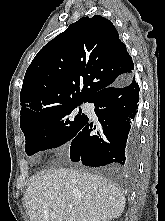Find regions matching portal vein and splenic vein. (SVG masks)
<instances>
[{"instance_id":"1","label":"portal vein and splenic vein","mask_w":165,"mask_h":221,"mask_svg":"<svg viewBox=\"0 0 165 221\" xmlns=\"http://www.w3.org/2000/svg\"><path fill=\"white\" fill-rule=\"evenodd\" d=\"M50 216H51L53 219L57 218V215H56L55 213H51ZM67 221H75V219H73V218H68Z\"/></svg>"}]
</instances>
